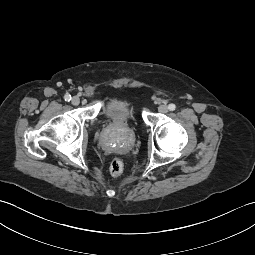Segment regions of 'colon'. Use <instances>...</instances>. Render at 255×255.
Segmentation results:
<instances>
[{
  "label": "colon",
  "instance_id": "5ec220e1",
  "mask_svg": "<svg viewBox=\"0 0 255 255\" xmlns=\"http://www.w3.org/2000/svg\"><path fill=\"white\" fill-rule=\"evenodd\" d=\"M109 172L113 177H118L124 172V162L121 158L115 157L110 161Z\"/></svg>",
  "mask_w": 255,
  "mask_h": 255
}]
</instances>
